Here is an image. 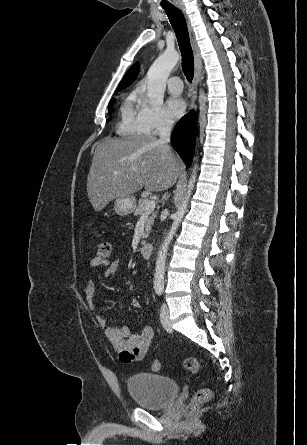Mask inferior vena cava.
<instances>
[{
	"instance_id": "602c4592",
	"label": "inferior vena cava",
	"mask_w": 307,
	"mask_h": 445,
	"mask_svg": "<svg viewBox=\"0 0 307 445\" xmlns=\"http://www.w3.org/2000/svg\"><path fill=\"white\" fill-rule=\"evenodd\" d=\"M172 124L173 120H171V118H163L162 124L158 126L157 130L160 132L158 142H161V144H167V142H170Z\"/></svg>"
}]
</instances>
